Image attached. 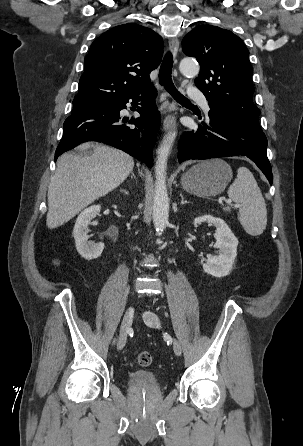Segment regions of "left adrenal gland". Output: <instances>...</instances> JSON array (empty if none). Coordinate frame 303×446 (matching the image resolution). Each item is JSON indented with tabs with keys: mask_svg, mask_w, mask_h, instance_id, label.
Instances as JSON below:
<instances>
[{
	"mask_svg": "<svg viewBox=\"0 0 303 446\" xmlns=\"http://www.w3.org/2000/svg\"><path fill=\"white\" fill-rule=\"evenodd\" d=\"M180 197H181V205L190 203V201L184 200V197H183L182 193H180Z\"/></svg>",
	"mask_w": 303,
	"mask_h": 446,
	"instance_id": "obj_1",
	"label": "left adrenal gland"
}]
</instances>
